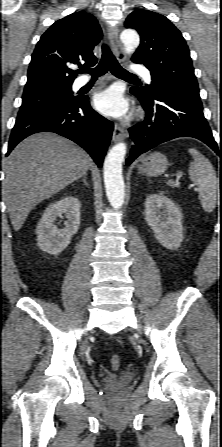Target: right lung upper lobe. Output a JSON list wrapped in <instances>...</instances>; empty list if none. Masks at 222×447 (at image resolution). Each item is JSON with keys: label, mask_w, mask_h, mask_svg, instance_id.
Listing matches in <instances>:
<instances>
[{"label": "right lung upper lobe", "mask_w": 222, "mask_h": 447, "mask_svg": "<svg viewBox=\"0 0 222 447\" xmlns=\"http://www.w3.org/2000/svg\"><path fill=\"white\" fill-rule=\"evenodd\" d=\"M101 39L98 21L87 12H75L56 21L36 45L24 93L71 87L76 74L69 65H95L92 50Z\"/></svg>", "instance_id": "cb5924a9"}]
</instances>
